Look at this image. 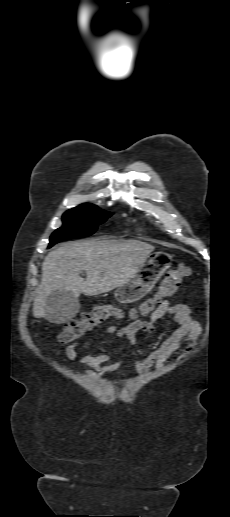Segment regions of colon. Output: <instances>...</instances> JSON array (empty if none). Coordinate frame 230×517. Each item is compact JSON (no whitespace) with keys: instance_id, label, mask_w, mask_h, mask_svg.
Here are the masks:
<instances>
[{"instance_id":"5ec220e1","label":"colon","mask_w":230,"mask_h":517,"mask_svg":"<svg viewBox=\"0 0 230 517\" xmlns=\"http://www.w3.org/2000/svg\"><path fill=\"white\" fill-rule=\"evenodd\" d=\"M191 274L189 267L180 265L165 275L158 291L143 300L136 310L130 313L132 318L150 314L164 299L173 296L186 277ZM120 309L113 304L96 306L83 313L78 319L69 321L58 335L62 343H71L83 338L90 330L111 317H121Z\"/></svg>"}]
</instances>
